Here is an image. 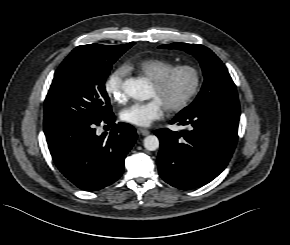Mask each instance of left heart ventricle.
<instances>
[{"label": "left heart ventricle", "mask_w": 290, "mask_h": 245, "mask_svg": "<svg viewBox=\"0 0 290 245\" xmlns=\"http://www.w3.org/2000/svg\"><path fill=\"white\" fill-rule=\"evenodd\" d=\"M193 84V75L190 72L182 71L175 74L167 87L161 91L153 85L151 87L150 97L158 98L163 105L168 106L178 102L189 91Z\"/></svg>", "instance_id": "b2bd125f"}]
</instances>
